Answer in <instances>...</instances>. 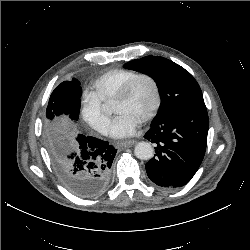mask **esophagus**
I'll return each mask as SVG.
<instances>
[{
	"label": "esophagus",
	"mask_w": 250,
	"mask_h": 250,
	"mask_svg": "<svg viewBox=\"0 0 250 250\" xmlns=\"http://www.w3.org/2000/svg\"><path fill=\"white\" fill-rule=\"evenodd\" d=\"M135 144V141L134 140H128V141H124V142H121V143H118L117 144V147H120V146H123V147H131Z\"/></svg>",
	"instance_id": "34e87169"
}]
</instances>
